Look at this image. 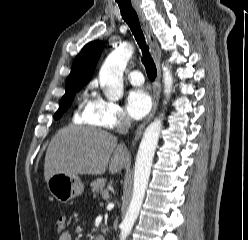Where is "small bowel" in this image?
<instances>
[{"label":"small bowel","instance_id":"c3829d8e","mask_svg":"<svg viewBox=\"0 0 248 240\" xmlns=\"http://www.w3.org/2000/svg\"><path fill=\"white\" fill-rule=\"evenodd\" d=\"M58 240H73L70 232L65 231L59 235Z\"/></svg>","mask_w":248,"mask_h":240}]
</instances>
